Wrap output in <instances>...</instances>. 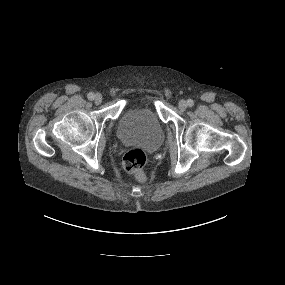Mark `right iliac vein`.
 Listing matches in <instances>:
<instances>
[{
    "label": "right iliac vein",
    "instance_id": "obj_1",
    "mask_svg": "<svg viewBox=\"0 0 285 285\" xmlns=\"http://www.w3.org/2000/svg\"><path fill=\"white\" fill-rule=\"evenodd\" d=\"M94 101L96 104H100L102 102V95L97 93L95 96H94Z\"/></svg>",
    "mask_w": 285,
    "mask_h": 285
}]
</instances>
